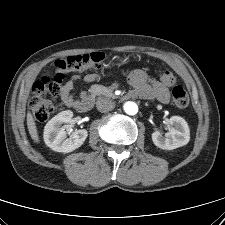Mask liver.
I'll return each mask as SVG.
<instances>
[{
  "label": "liver",
  "mask_w": 225,
  "mask_h": 225,
  "mask_svg": "<svg viewBox=\"0 0 225 225\" xmlns=\"http://www.w3.org/2000/svg\"><path fill=\"white\" fill-rule=\"evenodd\" d=\"M27 127H28V131L29 134L32 138V140L36 143L39 142V136H38V132H37V127L35 124V121L33 119V116L30 112L27 113Z\"/></svg>",
  "instance_id": "1"
}]
</instances>
